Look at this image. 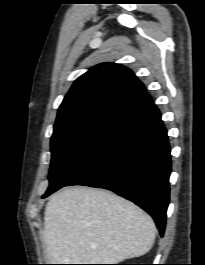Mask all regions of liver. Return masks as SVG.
<instances>
[{
    "instance_id": "1",
    "label": "liver",
    "mask_w": 205,
    "mask_h": 265,
    "mask_svg": "<svg viewBox=\"0 0 205 265\" xmlns=\"http://www.w3.org/2000/svg\"><path fill=\"white\" fill-rule=\"evenodd\" d=\"M155 229L148 214L112 192L65 188L46 204V257L50 264H117L149 252Z\"/></svg>"
}]
</instances>
